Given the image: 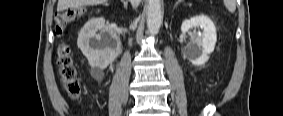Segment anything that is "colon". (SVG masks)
<instances>
[{
  "mask_svg": "<svg viewBox=\"0 0 283 116\" xmlns=\"http://www.w3.org/2000/svg\"><path fill=\"white\" fill-rule=\"evenodd\" d=\"M83 14L81 7H72L56 16L57 32L62 33L65 28ZM56 59L59 66L62 86L66 94L71 98H78L81 94V85L77 68L74 63L71 49L68 44L60 43L56 49Z\"/></svg>",
  "mask_w": 283,
  "mask_h": 116,
  "instance_id": "colon-1",
  "label": "colon"
}]
</instances>
